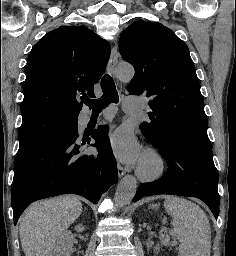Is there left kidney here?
I'll return each instance as SVG.
<instances>
[{
    "label": "left kidney",
    "instance_id": "obj_1",
    "mask_svg": "<svg viewBox=\"0 0 236 256\" xmlns=\"http://www.w3.org/2000/svg\"><path fill=\"white\" fill-rule=\"evenodd\" d=\"M154 250H155V252L157 254L158 250H160L159 246H156V248H154Z\"/></svg>",
    "mask_w": 236,
    "mask_h": 256
}]
</instances>
